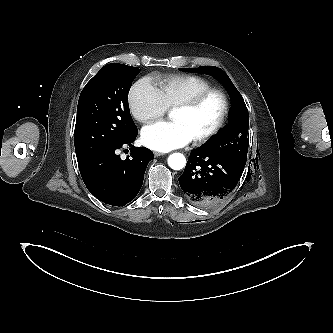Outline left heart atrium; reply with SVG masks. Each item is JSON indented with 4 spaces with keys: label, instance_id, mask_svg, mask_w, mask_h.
I'll return each instance as SVG.
<instances>
[{
    "label": "left heart atrium",
    "instance_id": "obj_1",
    "mask_svg": "<svg viewBox=\"0 0 333 333\" xmlns=\"http://www.w3.org/2000/svg\"><path fill=\"white\" fill-rule=\"evenodd\" d=\"M142 143L156 151L167 152L186 146L192 138L179 122H156L145 126L141 132Z\"/></svg>",
    "mask_w": 333,
    "mask_h": 333
}]
</instances>
